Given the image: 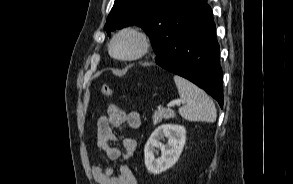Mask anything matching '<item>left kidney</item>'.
Segmentation results:
<instances>
[{
  "label": "left kidney",
  "instance_id": "left-kidney-1",
  "mask_svg": "<svg viewBox=\"0 0 293 184\" xmlns=\"http://www.w3.org/2000/svg\"><path fill=\"white\" fill-rule=\"evenodd\" d=\"M168 139L166 145L160 140ZM186 142V129L181 125L166 124L155 129L144 148L145 166L148 172L160 174L178 161ZM160 149L161 156L158 155Z\"/></svg>",
  "mask_w": 293,
  "mask_h": 184
}]
</instances>
